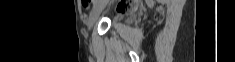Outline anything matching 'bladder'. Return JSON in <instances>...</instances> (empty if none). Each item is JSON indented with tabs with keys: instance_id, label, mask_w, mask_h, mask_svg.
<instances>
[{
	"instance_id": "bladder-1",
	"label": "bladder",
	"mask_w": 235,
	"mask_h": 62,
	"mask_svg": "<svg viewBox=\"0 0 235 62\" xmlns=\"http://www.w3.org/2000/svg\"><path fill=\"white\" fill-rule=\"evenodd\" d=\"M128 21H131V17H128Z\"/></svg>"
}]
</instances>
